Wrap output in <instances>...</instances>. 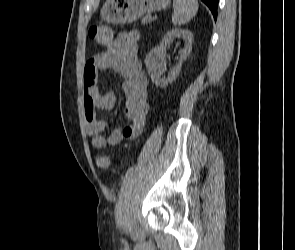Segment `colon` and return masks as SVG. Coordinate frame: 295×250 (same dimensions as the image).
<instances>
[{"instance_id":"5ec220e1","label":"colon","mask_w":295,"mask_h":250,"mask_svg":"<svg viewBox=\"0 0 295 250\" xmlns=\"http://www.w3.org/2000/svg\"><path fill=\"white\" fill-rule=\"evenodd\" d=\"M89 37L101 46H109L113 40V31L106 25H93L89 29ZM97 164L101 168H107L109 160L105 155H99Z\"/></svg>"}]
</instances>
